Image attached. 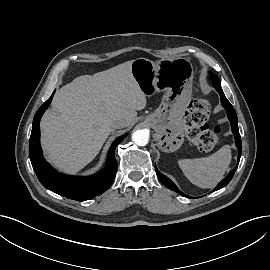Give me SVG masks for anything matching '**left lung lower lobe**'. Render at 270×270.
I'll use <instances>...</instances> for the list:
<instances>
[{
    "mask_svg": "<svg viewBox=\"0 0 270 270\" xmlns=\"http://www.w3.org/2000/svg\"><path fill=\"white\" fill-rule=\"evenodd\" d=\"M219 94L221 96V103H222L223 107L225 108V110L227 112L228 119L230 120V123H231V126H232V132H233V134L235 136V145L239 149V154H238V164H239L240 157H241V151H242V143H241V138H240L239 129H238L237 115H236V112H235L233 106L226 99L224 93L223 92H219ZM237 166L233 170L230 171L229 175L224 180H222L213 191H216L218 189L223 188L224 186H226L231 181V179H232V177H233V175H234V173H235V171L237 169ZM155 170H156L157 176L159 177V179L161 180V182L165 186H167L169 189L177 192L178 194H180L182 196H185L174 185V183L169 178H167L166 176H164L163 174H161L156 168H155Z\"/></svg>",
    "mask_w": 270,
    "mask_h": 270,
    "instance_id": "0a47b994",
    "label": "left lung lower lobe"
}]
</instances>
